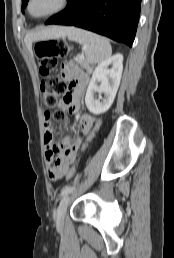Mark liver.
<instances>
[{
    "instance_id": "6515ba94",
    "label": "liver",
    "mask_w": 174,
    "mask_h": 258,
    "mask_svg": "<svg viewBox=\"0 0 174 258\" xmlns=\"http://www.w3.org/2000/svg\"><path fill=\"white\" fill-rule=\"evenodd\" d=\"M67 34L66 27H49L40 32L36 33H29L25 37V43L28 49L31 51L32 42L35 40H44V39H52V38H59L64 37Z\"/></svg>"
}]
</instances>
